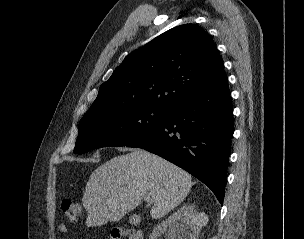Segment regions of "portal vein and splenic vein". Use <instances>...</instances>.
I'll return each mask as SVG.
<instances>
[{
  "label": "portal vein and splenic vein",
  "instance_id": "obj_1",
  "mask_svg": "<svg viewBox=\"0 0 304 239\" xmlns=\"http://www.w3.org/2000/svg\"><path fill=\"white\" fill-rule=\"evenodd\" d=\"M147 202H150V199L148 197L144 198Z\"/></svg>",
  "mask_w": 304,
  "mask_h": 239
}]
</instances>
